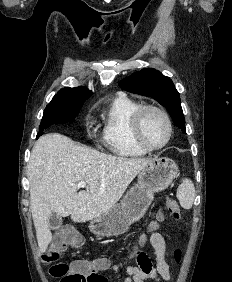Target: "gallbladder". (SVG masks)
<instances>
[{
    "label": "gallbladder",
    "instance_id": "gallbladder-1",
    "mask_svg": "<svg viewBox=\"0 0 232 282\" xmlns=\"http://www.w3.org/2000/svg\"><path fill=\"white\" fill-rule=\"evenodd\" d=\"M62 225V217L56 214H51L48 218V226L51 230L58 229Z\"/></svg>",
    "mask_w": 232,
    "mask_h": 282
}]
</instances>
